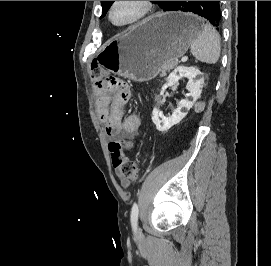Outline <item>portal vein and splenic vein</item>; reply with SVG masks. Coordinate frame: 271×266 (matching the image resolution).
<instances>
[{"label":"portal vein and splenic vein","instance_id":"1","mask_svg":"<svg viewBox=\"0 0 271 266\" xmlns=\"http://www.w3.org/2000/svg\"><path fill=\"white\" fill-rule=\"evenodd\" d=\"M187 59H188V57H187V56H183V57L181 58L180 62H186V61H187Z\"/></svg>","mask_w":271,"mask_h":266}]
</instances>
